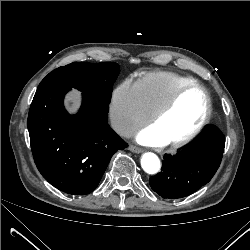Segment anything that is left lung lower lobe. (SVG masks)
<instances>
[{
	"label": "left lung lower lobe",
	"mask_w": 250,
	"mask_h": 250,
	"mask_svg": "<svg viewBox=\"0 0 250 250\" xmlns=\"http://www.w3.org/2000/svg\"><path fill=\"white\" fill-rule=\"evenodd\" d=\"M225 138L214 126L176 155L164 156L162 170L150 177L153 191L163 198H183L208 183L220 166Z\"/></svg>",
	"instance_id": "left-lung-lower-lobe-1"
}]
</instances>
